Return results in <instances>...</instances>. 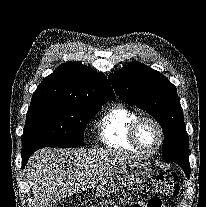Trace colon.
<instances>
[{
    "label": "colon",
    "mask_w": 206,
    "mask_h": 207,
    "mask_svg": "<svg viewBox=\"0 0 206 207\" xmlns=\"http://www.w3.org/2000/svg\"><path fill=\"white\" fill-rule=\"evenodd\" d=\"M157 196L150 198L147 203H134L131 207H165L163 197L173 198L178 195L179 187L174 172H162L156 182ZM123 198H115L101 203L97 207H119Z\"/></svg>",
    "instance_id": "1"
}]
</instances>
